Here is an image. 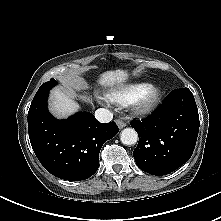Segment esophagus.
Returning a JSON list of instances; mask_svg holds the SVG:
<instances>
[{"instance_id": "obj_1", "label": "esophagus", "mask_w": 221, "mask_h": 221, "mask_svg": "<svg viewBox=\"0 0 221 221\" xmlns=\"http://www.w3.org/2000/svg\"><path fill=\"white\" fill-rule=\"evenodd\" d=\"M116 124H117V126H118L120 129H122V128H124L125 126H127V124H126L124 121L120 120V119H117V120H116Z\"/></svg>"}]
</instances>
